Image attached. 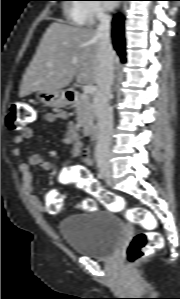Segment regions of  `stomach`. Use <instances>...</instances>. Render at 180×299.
Returning a JSON list of instances; mask_svg holds the SVG:
<instances>
[{
	"mask_svg": "<svg viewBox=\"0 0 180 299\" xmlns=\"http://www.w3.org/2000/svg\"><path fill=\"white\" fill-rule=\"evenodd\" d=\"M36 99L46 106L57 108L65 107L69 103L63 90H40L36 92Z\"/></svg>",
	"mask_w": 180,
	"mask_h": 299,
	"instance_id": "0dacf381",
	"label": "stomach"
}]
</instances>
